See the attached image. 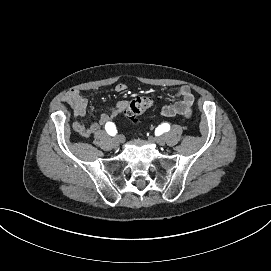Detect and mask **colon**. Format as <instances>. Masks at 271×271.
<instances>
[{
	"mask_svg": "<svg viewBox=\"0 0 271 271\" xmlns=\"http://www.w3.org/2000/svg\"><path fill=\"white\" fill-rule=\"evenodd\" d=\"M154 103L151 96H138L126 104L124 114L128 118H135L146 112Z\"/></svg>",
	"mask_w": 271,
	"mask_h": 271,
	"instance_id": "obj_1",
	"label": "colon"
}]
</instances>
